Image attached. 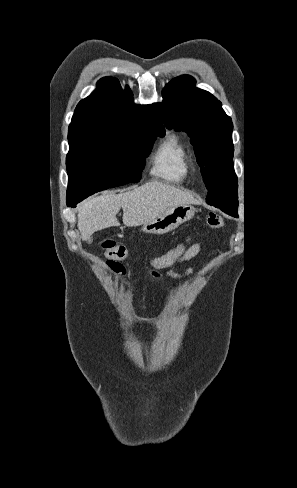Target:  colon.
Listing matches in <instances>:
<instances>
[{
  "label": "colon",
  "mask_w": 297,
  "mask_h": 488,
  "mask_svg": "<svg viewBox=\"0 0 297 488\" xmlns=\"http://www.w3.org/2000/svg\"><path fill=\"white\" fill-rule=\"evenodd\" d=\"M206 222L211 229H219L223 226V219L217 212H210L207 215ZM192 243V236L185 238L165 254L153 258L151 260L152 266L156 269H167L171 267L181 258ZM103 246L107 254L111 257L107 262L109 267L116 273H123L124 266L120 261L129 256V251L124 246L116 245L114 241L109 239L104 241Z\"/></svg>",
  "instance_id": "obj_1"
}]
</instances>
